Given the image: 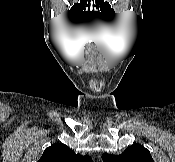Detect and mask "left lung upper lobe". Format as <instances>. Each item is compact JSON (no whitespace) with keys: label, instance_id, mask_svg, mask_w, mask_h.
Here are the masks:
<instances>
[{"label":"left lung upper lobe","instance_id":"5c2ea615","mask_svg":"<svg viewBox=\"0 0 175 162\" xmlns=\"http://www.w3.org/2000/svg\"><path fill=\"white\" fill-rule=\"evenodd\" d=\"M102 158L104 162H154L149 150L139 144L128 147L120 155L105 153Z\"/></svg>","mask_w":175,"mask_h":162}]
</instances>
